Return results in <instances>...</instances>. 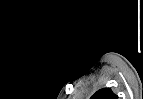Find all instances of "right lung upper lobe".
Here are the masks:
<instances>
[{"mask_svg": "<svg viewBox=\"0 0 143 99\" xmlns=\"http://www.w3.org/2000/svg\"><path fill=\"white\" fill-rule=\"evenodd\" d=\"M91 99H118V96L115 95L110 88H102L98 90Z\"/></svg>", "mask_w": 143, "mask_h": 99, "instance_id": "right-lung-upper-lobe-1", "label": "right lung upper lobe"}]
</instances>
